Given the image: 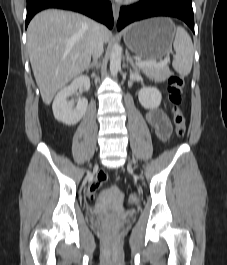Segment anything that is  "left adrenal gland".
Here are the masks:
<instances>
[{
  "mask_svg": "<svg viewBox=\"0 0 227 265\" xmlns=\"http://www.w3.org/2000/svg\"><path fill=\"white\" fill-rule=\"evenodd\" d=\"M126 61H127V63L130 64V66L132 67L133 70H137V67H136V65H135V63H134V60H133V58L130 56L128 50H126Z\"/></svg>",
  "mask_w": 227,
  "mask_h": 265,
  "instance_id": "obj_1",
  "label": "left adrenal gland"
}]
</instances>
